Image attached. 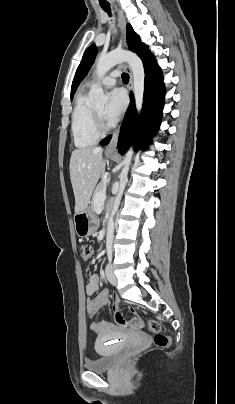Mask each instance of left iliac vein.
Wrapping results in <instances>:
<instances>
[{"instance_id": "4c4485c4", "label": "left iliac vein", "mask_w": 235, "mask_h": 404, "mask_svg": "<svg viewBox=\"0 0 235 404\" xmlns=\"http://www.w3.org/2000/svg\"><path fill=\"white\" fill-rule=\"evenodd\" d=\"M105 273H106V277H107L108 281L110 282V284H112L113 286H116L118 280H117L116 275L113 272V268H112L111 264H108L106 266Z\"/></svg>"}]
</instances>
